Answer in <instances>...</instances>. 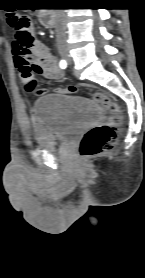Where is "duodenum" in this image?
I'll list each match as a JSON object with an SVG mask.
<instances>
[{"mask_svg": "<svg viewBox=\"0 0 145 278\" xmlns=\"http://www.w3.org/2000/svg\"><path fill=\"white\" fill-rule=\"evenodd\" d=\"M40 21L43 25L47 26V27H52L53 23L52 20L50 18L49 13H44L43 15L40 16Z\"/></svg>", "mask_w": 145, "mask_h": 278, "instance_id": "duodenum-1", "label": "duodenum"}]
</instances>
